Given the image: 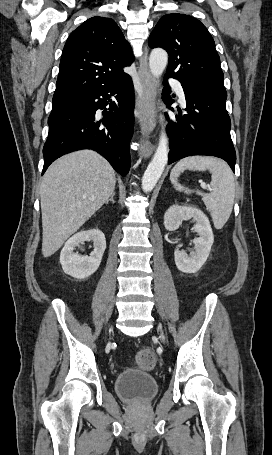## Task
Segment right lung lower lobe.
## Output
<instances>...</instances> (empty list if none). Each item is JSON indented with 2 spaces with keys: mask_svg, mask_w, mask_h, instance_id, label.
<instances>
[{
  "mask_svg": "<svg viewBox=\"0 0 272 455\" xmlns=\"http://www.w3.org/2000/svg\"><path fill=\"white\" fill-rule=\"evenodd\" d=\"M111 96L116 100L112 101ZM134 105L130 76L118 83L53 104L48 119L49 134L43 148L42 174L60 156L89 148L104 156L122 176L127 175ZM98 109H104L101 119L96 115Z\"/></svg>",
  "mask_w": 272,
  "mask_h": 455,
  "instance_id": "1",
  "label": "right lung lower lobe"
}]
</instances>
